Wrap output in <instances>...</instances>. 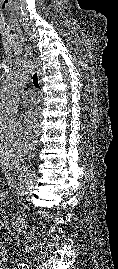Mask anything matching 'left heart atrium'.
Returning a JSON list of instances; mask_svg holds the SVG:
<instances>
[{
	"label": "left heart atrium",
	"instance_id": "1",
	"mask_svg": "<svg viewBox=\"0 0 118 269\" xmlns=\"http://www.w3.org/2000/svg\"><path fill=\"white\" fill-rule=\"evenodd\" d=\"M42 120L41 108L38 105H33L28 108L25 113V123L30 131L37 132L41 127Z\"/></svg>",
	"mask_w": 118,
	"mask_h": 269
}]
</instances>
